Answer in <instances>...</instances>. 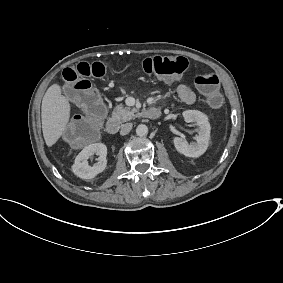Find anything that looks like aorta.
Returning <instances> with one entry per match:
<instances>
[{
	"label": "aorta",
	"instance_id": "obj_1",
	"mask_svg": "<svg viewBox=\"0 0 283 283\" xmlns=\"http://www.w3.org/2000/svg\"><path fill=\"white\" fill-rule=\"evenodd\" d=\"M136 134L140 137L146 136L148 134V127L144 124H140L136 128Z\"/></svg>",
	"mask_w": 283,
	"mask_h": 283
}]
</instances>
